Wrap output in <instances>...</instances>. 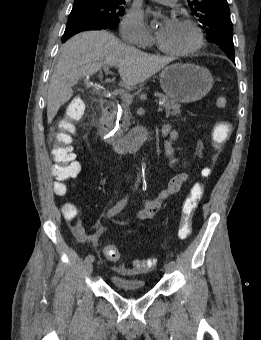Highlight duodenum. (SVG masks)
<instances>
[{
	"mask_svg": "<svg viewBox=\"0 0 261 340\" xmlns=\"http://www.w3.org/2000/svg\"><path fill=\"white\" fill-rule=\"evenodd\" d=\"M115 103L110 99L101 103V119L99 129L104 140L121 155L134 154L144 143L151 139L150 132L142 127L136 128L124 137H118L114 133Z\"/></svg>",
	"mask_w": 261,
	"mask_h": 340,
	"instance_id": "duodenum-1",
	"label": "duodenum"
}]
</instances>
